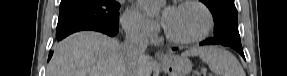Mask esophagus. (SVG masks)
<instances>
[{
	"instance_id": "1",
	"label": "esophagus",
	"mask_w": 287,
	"mask_h": 76,
	"mask_svg": "<svg viewBox=\"0 0 287 76\" xmlns=\"http://www.w3.org/2000/svg\"><path fill=\"white\" fill-rule=\"evenodd\" d=\"M155 57H156V59H158V60H163V59L166 58V55H165L164 53H162V52H156V53H155Z\"/></svg>"
}]
</instances>
